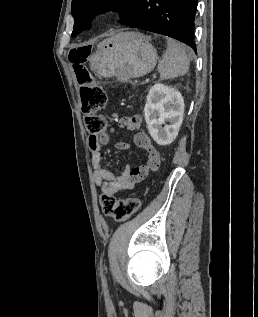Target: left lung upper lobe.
Instances as JSON below:
<instances>
[{
    "label": "left lung upper lobe",
    "instance_id": "obj_1",
    "mask_svg": "<svg viewBox=\"0 0 258 317\" xmlns=\"http://www.w3.org/2000/svg\"><path fill=\"white\" fill-rule=\"evenodd\" d=\"M141 0H73L71 5L74 17L72 37L84 29H89L92 19L99 13L114 10L121 15L120 22L127 25L133 18Z\"/></svg>",
    "mask_w": 258,
    "mask_h": 317
}]
</instances>
